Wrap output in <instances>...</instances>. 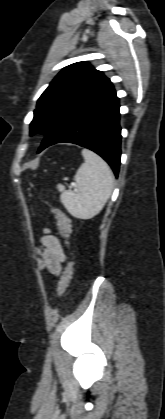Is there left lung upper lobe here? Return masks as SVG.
Segmentation results:
<instances>
[{"label":"left lung upper lobe","mask_w":165,"mask_h":419,"mask_svg":"<svg viewBox=\"0 0 165 419\" xmlns=\"http://www.w3.org/2000/svg\"><path fill=\"white\" fill-rule=\"evenodd\" d=\"M111 81L88 62L65 67L38 99L30 135L47 136L76 106L105 90Z\"/></svg>","instance_id":"left-lung-upper-lobe-1"}]
</instances>
